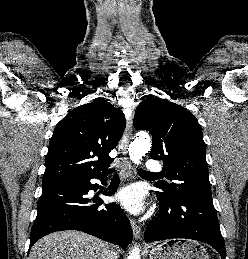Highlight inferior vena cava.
I'll list each match as a JSON object with an SVG mask.
<instances>
[{
	"label": "inferior vena cava",
	"instance_id": "602c4592",
	"mask_svg": "<svg viewBox=\"0 0 248 259\" xmlns=\"http://www.w3.org/2000/svg\"><path fill=\"white\" fill-rule=\"evenodd\" d=\"M106 259H117L116 253L115 252H109L107 254Z\"/></svg>",
	"mask_w": 248,
	"mask_h": 259
}]
</instances>
